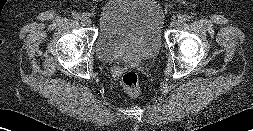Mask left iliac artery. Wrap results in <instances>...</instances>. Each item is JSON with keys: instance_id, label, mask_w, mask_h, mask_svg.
<instances>
[{"instance_id": "obj_1", "label": "left iliac artery", "mask_w": 253, "mask_h": 131, "mask_svg": "<svg viewBox=\"0 0 253 131\" xmlns=\"http://www.w3.org/2000/svg\"><path fill=\"white\" fill-rule=\"evenodd\" d=\"M190 20V16L189 15H183L182 17H180V21L181 22H187Z\"/></svg>"}]
</instances>
